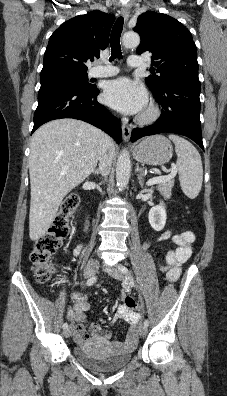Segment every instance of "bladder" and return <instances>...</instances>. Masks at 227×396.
<instances>
[{"instance_id":"obj_1","label":"bladder","mask_w":227,"mask_h":396,"mask_svg":"<svg viewBox=\"0 0 227 396\" xmlns=\"http://www.w3.org/2000/svg\"><path fill=\"white\" fill-rule=\"evenodd\" d=\"M74 358L85 368L94 372H112L121 369L132 359L131 352L104 353L95 343L85 342L73 348Z\"/></svg>"}]
</instances>
